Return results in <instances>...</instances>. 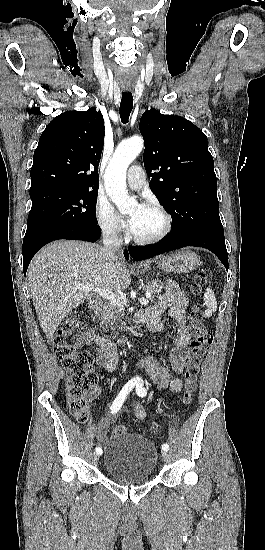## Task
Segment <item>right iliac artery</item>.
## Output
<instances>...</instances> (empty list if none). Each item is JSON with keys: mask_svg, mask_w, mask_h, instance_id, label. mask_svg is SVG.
Segmentation results:
<instances>
[{"mask_svg": "<svg viewBox=\"0 0 265 550\" xmlns=\"http://www.w3.org/2000/svg\"><path fill=\"white\" fill-rule=\"evenodd\" d=\"M138 381H139L138 379L133 378L124 385V387L122 388V390L120 391L118 396L115 398V400L113 401L110 407L111 413H117L119 411L127 395L132 391V389L134 388V386L137 384ZM96 452L97 454H101L102 449L100 447H97Z\"/></svg>", "mask_w": 265, "mask_h": 550, "instance_id": "right-iliac-artery-1", "label": "right iliac artery"}]
</instances>
